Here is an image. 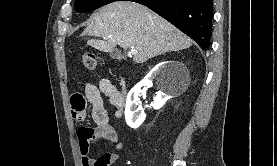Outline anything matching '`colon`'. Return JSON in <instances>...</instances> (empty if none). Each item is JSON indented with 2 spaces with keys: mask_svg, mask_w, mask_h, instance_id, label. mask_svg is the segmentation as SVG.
I'll list each match as a JSON object with an SVG mask.
<instances>
[{
  "mask_svg": "<svg viewBox=\"0 0 277 166\" xmlns=\"http://www.w3.org/2000/svg\"><path fill=\"white\" fill-rule=\"evenodd\" d=\"M83 65L87 70H94L97 64L95 55L92 52H85L82 56Z\"/></svg>",
  "mask_w": 277,
  "mask_h": 166,
  "instance_id": "obj_1",
  "label": "colon"
}]
</instances>
